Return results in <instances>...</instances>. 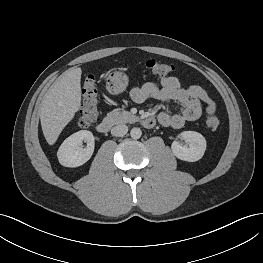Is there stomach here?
Here are the masks:
<instances>
[{
	"label": "stomach",
	"instance_id": "1",
	"mask_svg": "<svg viewBox=\"0 0 263 263\" xmlns=\"http://www.w3.org/2000/svg\"><path fill=\"white\" fill-rule=\"evenodd\" d=\"M128 81L124 72L115 71L107 77V89L112 95H118L126 90Z\"/></svg>",
	"mask_w": 263,
	"mask_h": 263
}]
</instances>
